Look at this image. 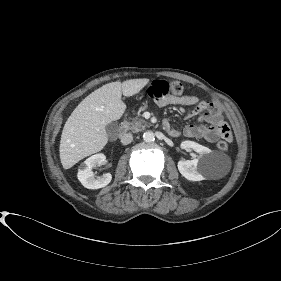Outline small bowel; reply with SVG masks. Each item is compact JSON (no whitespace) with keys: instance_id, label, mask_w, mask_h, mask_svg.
Returning <instances> with one entry per match:
<instances>
[{"instance_id":"small-bowel-1","label":"small bowel","mask_w":281,"mask_h":281,"mask_svg":"<svg viewBox=\"0 0 281 281\" xmlns=\"http://www.w3.org/2000/svg\"><path fill=\"white\" fill-rule=\"evenodd\" d=\"M157 106L163 108L168 105L193 106L188 114L189 118L199 117L195 125H186L182 130H177L168 121H164V128L172 137L184 135L188 138L205 139L208 142H216L219 138L231 140V132L222 118V115L212 100H199L196 96L180 95L156 99Z\"/></svg>"}]
</instances>
